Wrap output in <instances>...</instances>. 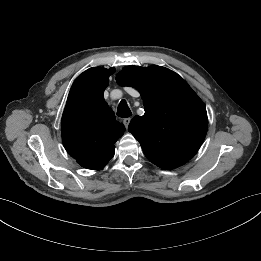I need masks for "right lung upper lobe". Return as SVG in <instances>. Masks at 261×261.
<instances>
[{
    "mask_svg": "<svg viewBox=\"0 0 261 261\" xmlns=\"http://www.w3.org/2000/svg\"><path fill=\"white\" fill-rule=\"evenodd\" d=\"M114 71L93 67L83 72L71 87L62 116L63 145L87 169L104 167L114 156V143L125 131L103 97Z\"/></svg>",
    "mask_w": 261,
    "mask_h": 261,
    "instance_id": "cb5924a9",
    "label": "right lung upper lobe"
}]
</instances>
